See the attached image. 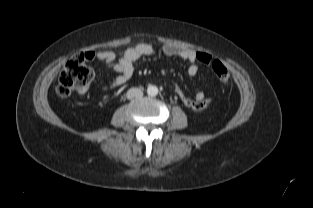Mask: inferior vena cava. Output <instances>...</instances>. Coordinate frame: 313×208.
I'll return each instance as SVG.
<instances>
[{"label": "inferior vena cava", "instance_id": "1", "mask_svg": "<svg viewBox=\"0 0 313 208\" xmlns=\"http://www.w3.org/2000/svg\"><path fill=\"white\" fill-rule=\"evenodd\" d=\"M126 96L128 99H139L143 96V91L139 88H131L127 91Z\"/></svg>", "mask_w": 313, "mask_h": 208}]
</instances>
